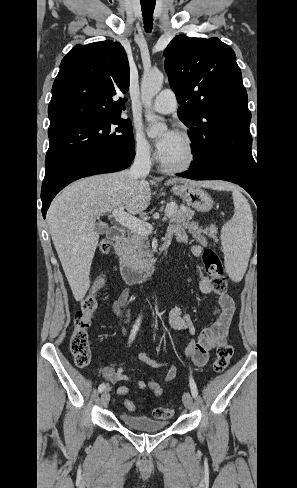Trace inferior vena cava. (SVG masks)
I'll return each instance as SVG.
<instances>
[{
  "instance_id": "1",
  "label": "inferior vena cava",
  "mask_w": 297,
  "mask_h": 488,
  "mask_svg": "<svg viewBox=\"0 0 297 488\" xmlns=\"http://www.w3.org/2000/svg\"><path fill=\"white\" fill-rule=\"evenodd\" d=\"M151 169L150 147L139 145L136 149L134 162L129 170L134 179H140L147 175Z\"/></svg>"
}]
</instances>
